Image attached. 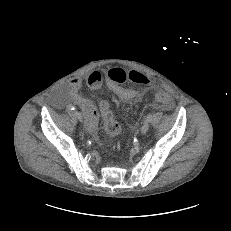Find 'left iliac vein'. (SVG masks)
Listing matches in <instances>:
<instances>
[{
	"label": "left iliac vein",
	"mask_w": 231,
	"mask_h": 231,
	"mask_svg": "<svg viewBox=\"0 0 231 231\" xmlns=\"http://www.w3.org/2000/svg\"><path fill=\"white\" fill-rule=\"evenodd\" d=\"M149 123L148 122H145L142 127H141V134H146L149 130Z\"/></svg>",
	"instance_id": "1"
}]
</instances>
